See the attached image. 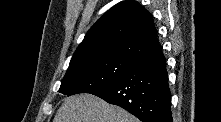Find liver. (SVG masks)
Returning <instances> with one entry per match:
<instances>
[{"mask_svg": "<svg viewBox=\"0 0 221 122\" xmlns=\"http://www.w3.org/2000/svg\"><path fill=\"white\" fill-rule=\"evenodd\" d=\"M53 122H138V119L123 108L86 93L65 98Z\"/></svg>", "mask_w": 221, "mask_h": 122, "instance_id": "6515ba94", "label": "liver"}]
</instances>
